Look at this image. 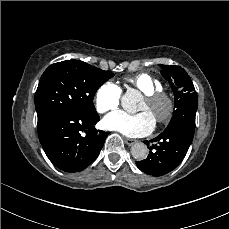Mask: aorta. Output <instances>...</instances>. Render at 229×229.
I'll list each match as a JSON object with an SVG mask.
<instances>
[{
	"label": "aorta",
	"instance_id": "762f6f07",
	"mask_svg": "<svg viewBox=\"0 0 229 229\" xmlns=\"http://www.w3.org/2000/svg\"><path fill=\"white\" fill-rule=\"evenodd\" d=\"M138 101L139 94L136 91H129L122 97L121 104L125 110L133 112L137 109ZM131 154L135 159L143 160L148 155V148L144 143H135L131 147Z\"/></svg>",
	"mask_w": 229,
	"mask_h": 229
}]
</instances>
